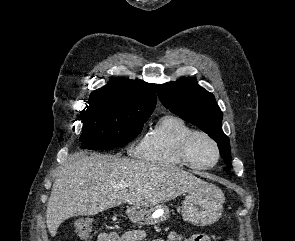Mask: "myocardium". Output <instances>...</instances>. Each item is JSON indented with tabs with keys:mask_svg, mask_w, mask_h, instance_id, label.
<instances>
[{
	"mask_svg": "<svg viewBox=\"0 0 295 241\" xmlns=\"http://www.w3.org/2000/svg\"><path fill=\"white\" fill-rule=\"evenodd\" d=\"M199 136L204 137L207 140H209L215 148L216 158H215L214 162L209 166L198 165L191 158V155H190L191 144L194 141V139ZM179 155H180L182 161L184 162V164L192 169L210 170L218 164V162L221 158V150H220V146H219L218 142L216 141V139L213 136H211L209 133L202 131V130H193L180 143Z\"/></svg>",
	"mask_w": 295,
	"mask_h": 241,
	"instance_id": "1",
	"label": "myocardium"
}]
</instances>
